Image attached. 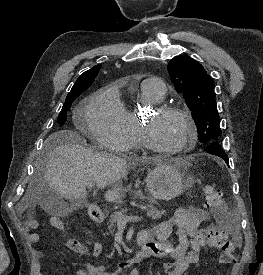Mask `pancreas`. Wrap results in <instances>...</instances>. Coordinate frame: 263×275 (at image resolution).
<instances>
[{"label": "pancreas", "instance_id": "cf45deb5", "mask_svg": "<svg viewBox=\"0 0 263 275\" xmlns=\"http://www.w3.org/2000/svg\"><path fill=\"white\" fill-rule=\"evenodd\" d=\"M135 195L139 196L142 200L147 201L149 204L147 205H141V208H144V210L146 211V214L148 217H151L152 219L156 220L159 219L164 213V210H158L156 207L153 206L154 203H156V200L151 197H145L143 196L141 193L135 192ZM128 212V209H121L120 211L114 212L111 216H110V220H109V227L108 230L111 234H113L115 232V224L117 223V219L119 217L120 214L124 215Z\"/></svg>", "mask_w": 263, "mask_h": 275}]
</instances>
